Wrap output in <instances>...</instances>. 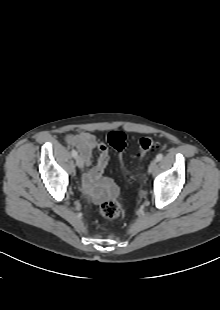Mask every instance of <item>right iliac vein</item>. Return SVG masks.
<instances>
[{"label":"right iliac vein","instance_id":"63e3f726","mask_svg":"<svg viewBox=\"0 0 220 310\" xmlns=\"http://www.w3.org/2000/svg\"><path fill=\"white\" fill-rule=\"evenodd\" d=\"M76 165L79 167V168H83L84 166V160L81 156H77L76 157Z\"/></svg>","mask_w":220,"mask_h":310}]
</instances>
